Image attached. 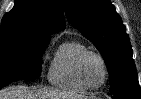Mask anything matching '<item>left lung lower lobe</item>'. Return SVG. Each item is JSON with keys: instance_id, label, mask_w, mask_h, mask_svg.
<instances>
[{"instance_id": "0a47b994", "label": "left lung lower lobe", "mask_w": 141, "mask_h": 99, "mask_svg": "<svg viewBox=\"0 0 141 99\" xmlns=\"http://www.w3.org/2000/svg\"><path fill=\"white\" fill-rule=\"evenodd\" d=\"M114 99H138V98H133V97L119 98L114 96Z\"/></svg>"}]
</instances>
